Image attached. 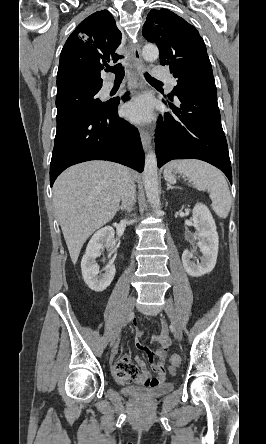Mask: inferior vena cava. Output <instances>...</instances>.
I'll return each instance as SVG.
<instances>
[{"instance_id":"inferior-vena-cava-1","label":"inferior vena cava","mask_w":266,"mask_h":444,"mask_svg":"<svg viewBox=\"0 0 266 444\" xmlns=\"http://www.w3.org/2000/svg\"><path fill=\"white\" fill-rule=\"evenodd\" d=\"M122 207L131 212L136 201V186L129 173H125L121 184Z\"/></svg>"}]
</instances>
